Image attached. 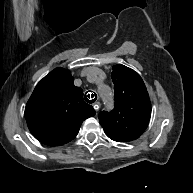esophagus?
<instances>
[{
	"label": "esophagus",
	"instance_id": "obj_1",
	"mask_svg": "<svg viewBox=\"0 0 193 193\" xmlns=\"http://www.w3.org/2000/svg\"><path fill=\"white\" fill-rule=\"evenodd\" d=\"M89 94H90V96H91V94H93V95L95 96V93H94V92H90ZM97 99H98V97H97ZM93 108H94L96 111H98V110L100 109V103H99L97 100H96L95 104L93 105Z\"/></svg>",
	"mask_w": 193,
	"mask_h": 193
}]
</instances>
